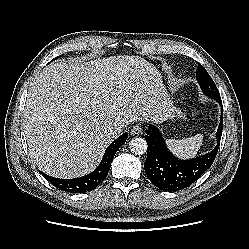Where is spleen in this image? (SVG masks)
<instances>
[{"label":"spleen","instance_id":"3e777b00","mask_svg":"<svg viewBox=\"0 0 249 249\" xmlns=\"http://www.w3.org/2000/svg\"><path fill=\"white\" fill-rule=\"evenodd\" d=\"M203 137L195 135L183 139L168 140L169 148L181 158H191L197 155L199 148L202 145Z\"/></svg>","mask_w":249,"mask_h":249}]
</instances>
